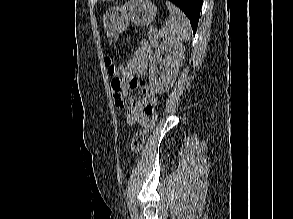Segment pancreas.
<instances>
[{"label": "pancreas", "instance_id": "cf45deb5", "mask_svg": "<svg viewBox=\"0 0 293 219\" xmlns=\"http://www.w3.org/2000/svg\"><path fill=\"white\" fill-rule=\"evenodd\" d=\"M148 39L153 46H157L159 35L155 30L149 29Z\"/></svg>", "mask_w": 293, "mask_h": 219}]
</instances>
